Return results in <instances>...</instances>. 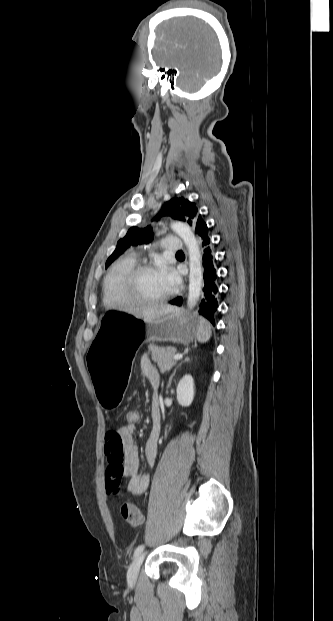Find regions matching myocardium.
<instances>
[{
  "instance_id": "1",
  "label": "myocardium",
  "mask_w": 333,
  "mask_h": 621,
  "mask_svg": "<svg viewBox=\"0 0 333 621\" xmlns=\"http://www.w3.org/2000/svg\"><path fill=\"white\" fill-rule=\"evenodd\" d=\"M156 270H161V266L157 263L138 264V265H135L132 269H130L124 275L120 283V293H121L122 298L127 304L153 306V305L162 304L171 298L173 294V291L171 290L165 296L157 298V299H146L136 294L135 283H136L137 278L145 272L156 271Z\"/></svg>"
}]
</instances>
